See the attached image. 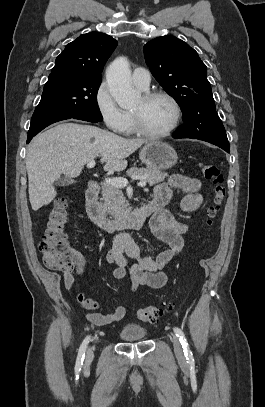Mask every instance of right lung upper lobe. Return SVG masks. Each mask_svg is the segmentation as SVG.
Returning <instances> with one entry per match:
<instances>
[{
	"label": "right lung upper lobe",
	"mask_w": 265,
	"mask_h": 407,
	"mask_svg": "<svg viewBox=\"0 0 265 407\" xmlns=\"http://www.w3.org/2000/svg\"><path fill=\"white\" fill-rule=\"evenodd\" d=\"M117 41L111 36L90 32L69 43L56 58L51 76L68 74L92 80H101V72Z\"/></svg>",
	"instance_id": "cb5924a9"
}]
</instances>
